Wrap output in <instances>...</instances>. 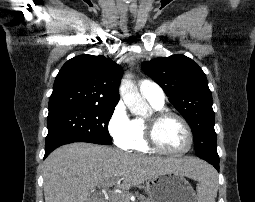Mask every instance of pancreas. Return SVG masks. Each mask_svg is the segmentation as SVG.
Returning <instances> with one entry per match:
<instances>
[{"label":"pancreas","mask_w":255,"mask_h":202,"mask_svg":"<svg viewBox=\"0 0 255 202\" xmlns=\"http://www.w3.org/2000/svg\"><path fill=\"white\" fill-rule=\"evenodd\" d=\"M111 202H130L129 195H116ZM150 202V201H144Z\"/></svg>","instance_id":"obj_1"}]
</instances>
